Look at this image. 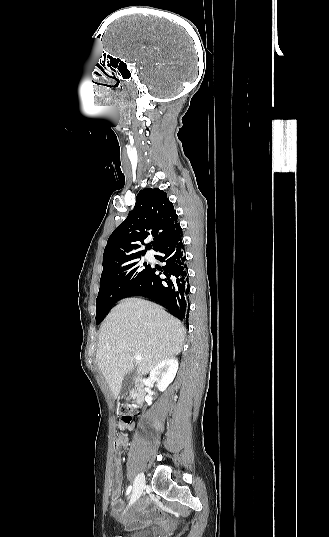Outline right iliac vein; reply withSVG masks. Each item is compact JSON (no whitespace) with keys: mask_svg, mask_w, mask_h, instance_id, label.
<instances>
[{"mask_svg":"<svg viewBox=\"0 0 329 537\" xmlns=\"http://www.w3.org/2000/svg\"><path fill=\"white\" fill-rule=\"evenodd\" d=\"M145 486V477L143 473H139L134 481L133 491L130 499V503H134L142 494Z\"/></svg>","mask_w":329,"mask_h":537,"instance_id":"1","label":"right iliac vein"}]
</instances>
